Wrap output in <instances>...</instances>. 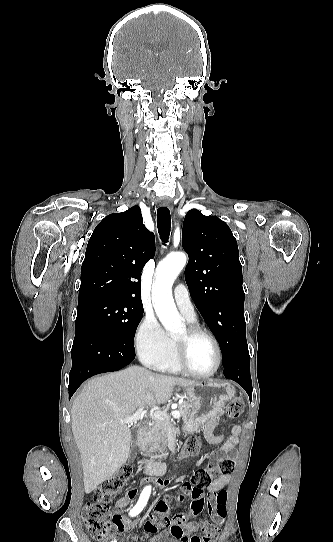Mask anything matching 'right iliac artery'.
Returning <instances> with one entry per match:
<instances>
[{
    "label": "right iliac artery",
    "instance_id": "right-iliac-artery-1",
    "mask_svg": "<svg viewBox=\"0 0 333 542\" xmlns=\"http://www.w3.org/2000/svg\"><path fill=\"white\" fill-rule=\"evenodd\" d=\"M150 493H151V486H147V487H145L143 489L137 504L129 512L130 516L134 517V516L138 515L143 510V508L145 507V505H146V503H147V501L149 499ZM114 542H116V540H114Z\"/></svg>",
    "mask_w": 333,
    "mask_h": 542
}]
</instances>
